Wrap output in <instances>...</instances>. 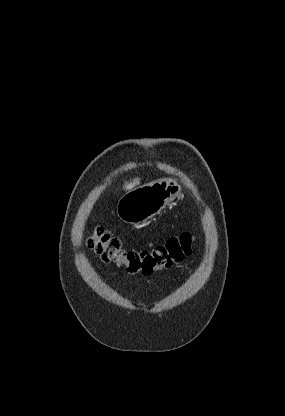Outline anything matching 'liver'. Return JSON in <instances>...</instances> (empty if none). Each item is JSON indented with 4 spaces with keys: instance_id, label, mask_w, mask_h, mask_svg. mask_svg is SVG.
<instances>
[{
    "instance_id": "liver-1",
    "label": "liver",
    "mask_w": 285,
    "mask_h": 416,
    "mask_svg": "<svg viewBox=\"0 0 285 416\" xmlns=\"http://www.w3.org/2000/svg\"><path fill=\"white\" fill-rule=\"evenodd\" d=\"M140 184V180H138V178H135V180H133V182H129V184H125V190H133V188H135V186H139Z\"/></svg>"
}]
</instances>
